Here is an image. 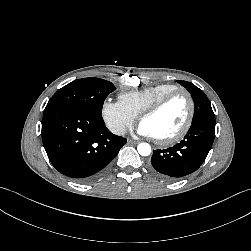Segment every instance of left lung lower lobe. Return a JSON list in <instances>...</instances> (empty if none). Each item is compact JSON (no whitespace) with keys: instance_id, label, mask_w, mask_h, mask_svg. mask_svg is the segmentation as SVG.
<instances>
[{"instance_id":"left-lung-lower-lobe-1","label":"left lung lower lobe","mask_w":251,"mask_h":251,"mask_svg":"<svg viewBox=\"0 0 251 251\" xmlns=\"http://www.w3.org/2000/svg\"><path fill=\"white\" fill-rule=\"evenodd\" d=\"M215 137V120L192 123L184 139L173 147L155 150L150 170L164 180H176L196 171L206 159Z\"/></svg>"}]
</instances>
